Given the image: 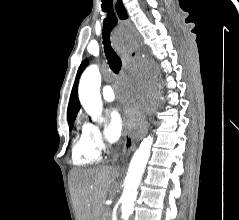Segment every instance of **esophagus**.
I'll list each match as a JSON object with an SVG mask.
<instances>
[{"label":"esophagus","instance_id":"obj_1","mask_svg":"<svg viewBox=\"0 0 239 220\" xmlns=\"http://www.w3.org/2000/svg\"><path fill=\"white\" fill-rule=\"evenodd\" d=\"M115 7H116V12L119 16L120 19H127V11L125 10V7L122 3V0H114ZM140 56V50H136L135 52H131L130 58H138ZM141 113L143 112L142 110L140 111ZM141 116L139 115H135ZM133 122L135 121L134 119L132 120ZM148 128V122L146 121V118L144 117L141 120V130L138 133L132 132L131 124L128 126V130L126 132V138L124 141V145L122 148V155L124 158H127L131 152L134 150L136 143L138 142L139 139L142 138V136L145 134Z\"/></svg>","mask_w":239,"mask_h":220}]
</instances>
